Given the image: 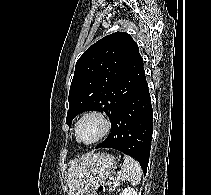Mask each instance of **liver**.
Segmentation results:
<instances>
[{
	"mask_svg": "<svg viewBox=\"0 0 211 195\" xmlns=\"http://www.w3.org/2000/svg\"><path fill=\"white\" fill-rule=\"evenodd\" d=\"M97 155L98 154L89 153L70 162L67 174L68 178L66 180L68 195H80L84 184V178L87 174V166L91 159Z\"/></svg>",
	"mask_w": 211,
	"mask_h": 195,
	"instance_id": "liver-1",
	"label": "liver"
}]
</instances>
